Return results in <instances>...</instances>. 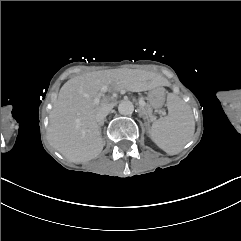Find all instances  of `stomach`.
Here are the masks:
<instances>
[{
    "label": "stomach",
    "mask_w": 241,
    "mask_h": 241,
    "mask_svg": "<svg viewBox=\"0 0 241 241\" xmlns=\"http://www.w3.org/2000/svg\"><path fill=\"white\" fill-rule=\"evenodd\" d=\"M149 105L153 108H161L165 102V91L163 88H157L148 93Z\"/></svg>",
    "instance_id": "obj_1"
}]
</instances>
